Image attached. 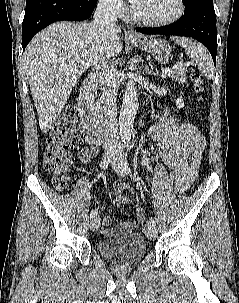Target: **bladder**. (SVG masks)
Returning <instances> with one entry per match:
<instances>
[{
    "instance_id": "obj_1",
    "label": "bladder",
    "mask_w": 239,
    "mask_h": 303,
    "mask_svg": "<svg viewBox=\"0 0 239 303\" xmlns=\"http://www.w3.org/2000/svg\"><path fill=\"white\" fill-rule=\"evenodd\" d=\"M99 253L119 266L136 263L145 254V243L138 233H130L98 244Z\"/></svg>"
}]
</instances>
